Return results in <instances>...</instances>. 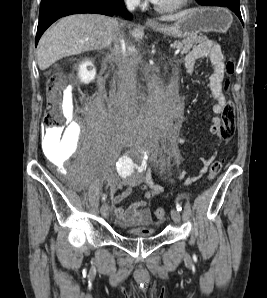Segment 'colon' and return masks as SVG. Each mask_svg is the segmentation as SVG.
<instances>
[{"instance_id":"1","label":"colon","mask_w":267,"mask_h":298,"mask_svg":"<svg viewBox=\"0 0 267 298\" xmlns=\"http://www.w3.org/2000/svg\"><path fill=\"white\" fill-rule=\"evenodd\" d=\"M235 63L233 60H229L226 64L225 70L228 76L234 72ZM63 76L60 73L52 74L48 79V91L49 101L47 111L44 117L45 127L53 129L64 124V119L61 114V91L63 88ZM228 86V83H226ZM222 138L226 141L229 140L235 129V111L231 103H229L222 114ZM222 162L220 160L214 161L209 169L208 179L213 180L221 171ZM156 217L164 221L168 215L164 208H157L155 210Z\"/></svg>"}]
</instances>
